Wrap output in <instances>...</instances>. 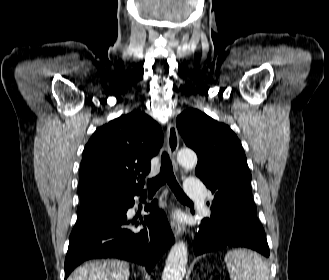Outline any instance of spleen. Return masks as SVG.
<instances>
[{"instance_id": "3e777b00", "label": "spleen", "mask_w": 329, "mask_h": 280, "mask_svg": "<svg viewBox=\"0 0 329 280\" xmlns=\"http://www.w3.org/2000/svg\"><path fill=\"white\" fill-rule=\"evenodd\" d=\"M231 280H270L266 263L256 253L247 249H234L225 255Z\"/></svg>"}]
</instances>
